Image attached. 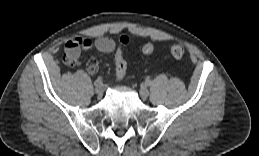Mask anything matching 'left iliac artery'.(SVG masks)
I'll return each mask as SVG.
<instances>
[{
  "mask_svg": "<svg viewBox=\"0 0 259 156\" xmlns=\"http://www.w3.org/2000/svg\"><path fill=\"white\" fill-rule=\"evenodd\" d=\"M150 84H151L150 80L147 79V80H146V85L149 86Z\"/></svg>",
  "mask_w": 259,
  "mask_h": 156,
  "instance_id": "44dca946",
  "label": "left iliac artery"
}]
</instances>
